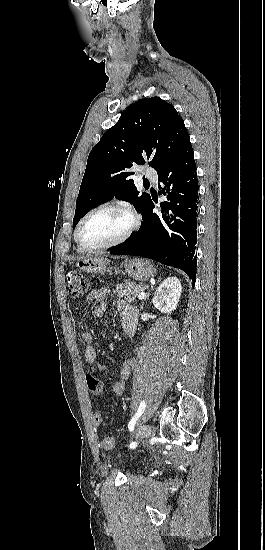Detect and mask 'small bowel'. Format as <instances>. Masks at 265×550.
Listing matches in <instances>:
<instances>
[{
  "instance_id": "1",
  "label": "small bowel",
  "mask_w": 265,
  "mask_h": 550,
  "mask_svg": "<svg viewBox=\"0 0 265 550\" xmlns=\"http://www.w3.org/2000/svg\"><path fill=\"white\" fill-rule=\"evenodd\" d=\"M108 294H109V291L107 288H101L91 292L89 296L86 298V301H85L86 304H91V303L95 304L94 314L97 317L103 316L107 311L108 305L106 302V298ZM117 310L120 315L123 332L128 337H131V338L135 337L136 330H137V317H138V311L136 307L132 306L126 300L120 299L117 301ZM92 338L93 337L90 333L83 334V339L87 343L84 350L85 359L90 364L92 373L104 372L106 369L100 363L98 353L95 347L91 344ZM131 367H132V364L129 359H126L120 366L116 374L117 379L113 385V392L115 395L120 396L123 394L126 381L131 371ZM101 394H102V389H101ZM94 423L96 425H100L102 423V417L100 418V420H96L94 418Z\"/></svg>"
}]
</instances>
